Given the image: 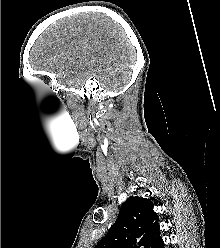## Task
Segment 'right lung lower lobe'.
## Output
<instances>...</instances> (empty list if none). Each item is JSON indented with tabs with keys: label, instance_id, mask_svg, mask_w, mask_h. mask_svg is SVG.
<instances>
[{
	"label": "right lung lower lobe",
	"instance_id": "right-lung-lower-lobe-1",
	"mask_svg": "<svg viewBox=\"0 0 220 248\" xmlns=\"http://www.w3.org/2000/svg\"><path fill=\"white\" fill-rule=\"evenodd\" d=\"M164 247V242L161 240L154 248H163Z\"/></svg>",
	"mask_w": 220,
	"mask_h": 248
}]
</instances>
